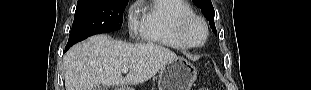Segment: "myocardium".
Here are the masks:
<instances>
[{
    "label": "myocardium",
    "mask_w": 311,
    "mask_h": 90,
    "mask_svg": "<svg viewBox=\"0 0 311 90\" xmlns=\"http://www.w3.org/2000/svg\"><path fill=\"white\" fill-rule=\"evenodd\" d=\"M195 23L200 24L203 28L204 34L200 42H195L189 35L190 27ZM177 34L181 41L189 48H199L203 46L208 39V25L201 16H198L196 14L188 15L180 19L177 26Z\"/></svg>",
    "instance_id": "f54148a6"
}]
</instances>
